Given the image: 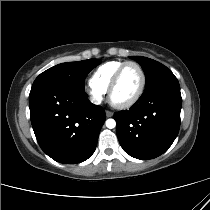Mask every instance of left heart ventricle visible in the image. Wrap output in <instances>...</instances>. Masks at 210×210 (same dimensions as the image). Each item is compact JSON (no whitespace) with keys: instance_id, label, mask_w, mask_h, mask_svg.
<instances>
[{"instance_id":"obj_1","label":"left heart ventricle","mask_w":210,"mask_h":210,"mask_svg":"<svg viewBox=\"0 0 210 210\" xmlns=\"http://www.w3.org/2000/svg\"><path fill=\"white\" fill-rule=\"evenodd\" d=\"M141 74L134 65H129L123 70L119 82L113 92L112 99L123 103L131 99L139 89Z\"/></svg>"}]
</instances>
